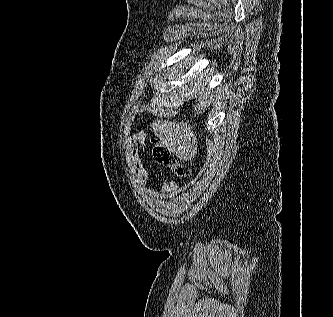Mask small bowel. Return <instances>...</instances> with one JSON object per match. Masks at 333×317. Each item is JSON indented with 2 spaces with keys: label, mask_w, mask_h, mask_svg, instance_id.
Instances as JSON below:
<instances>
[{
  "label": "small bowel",
  "mask_w": 333,
  "mask_h": 317,
  "mask_svg": "<svg viewBox=\"0 0 333 317\" xmlns=\"http://www.w3.org/2000/svg\"><path fill=\"white\" fill-rule=\"evenodd\" d=\"M145 143L146 135L143 132H138L132 135L127 142L128 157L142 186H146L149 180V173L146 170L139 153L140 146L145 145ZM176 191V184L172 181H166L158 190L157 195L159 199L166 200L172 197Z\"/></svg>",
  "instance_id": "1"
}]
</instances>
